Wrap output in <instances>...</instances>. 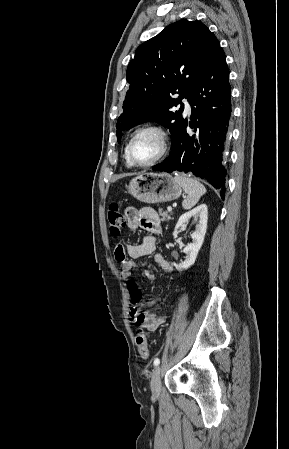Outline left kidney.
Here are the masks:
<instances>
[{"instance_id": "1", "label": "left kidney", "mask_w": 289, "mask_h": 449, "mask_svg": "<svg viewBox=\"0 0 289 449\" xmlns=\"http://www.w3.org/2000/svg\"><path fill=\"white\" fill-rule=\"evenodd\" d=\"M194 218L197 221L196 230L191 234L193 242L188 244L183 252L186 254L185 261L181 264H175L174 266L178 271L187 270L190 268L197 258L198 252L204 242V237L207 230V219H208V208L206 204H201L194 208L193 210L184 213L179 218L175 230L173 232V237H177V229L188 222L190 218Z\"/></svg>"}]
</instances>
